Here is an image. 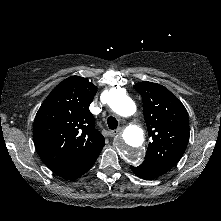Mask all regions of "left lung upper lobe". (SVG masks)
Returning a JSON list of instances; mask_svg holds the SVG:
<instances>
[{
    "label": "left lung upper lobe",
    "mask_w": 221,
    "mask_h": 221,
    "mask_svg": "<svg viewBox=\"0 0 221 221\" xmlns=\"http://www.w3.org/2000/svg\"><path fill=\"white\" fill-rule=\"evenodd\" d=\"M133 87L142 96L144 119L152 139L143 163L164 174L180 160L187 147L188 113L182 102L162 85L141 82Z\"/></svg>",
    "instance_id": "obj_1"
}]
</instances>
